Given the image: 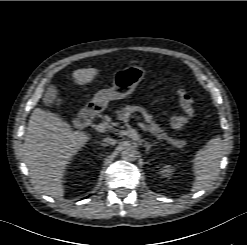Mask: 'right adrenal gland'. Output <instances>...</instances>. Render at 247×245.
Instances as JSON below:
<instances>
[{
	"mask_svg": "<svg viewBox=\"0 0 247 245\" xmlns=\"http://www.w3.org/2000/svg\"><path fill=\"white\" fill-rule=\"evenodd\" d=\"M102 147H106L107 145L104 143H99Z\"/></svg>",
	"mask_w": 247,
	"mask_h": 245,
	"instance_id": "1",
	"label": "right adrenal gland"
}]
</instances>
